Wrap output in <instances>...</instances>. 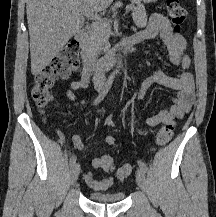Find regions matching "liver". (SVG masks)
Here are the masks:
<instances>
[{
  "mask_svg": "<svg viewBox=\"0 0 216 217\" xmlns=\"http://www.w3.org/2000/svg\"><path fill=\"white\" fill-rule=\"evenodd\" d=\"M113 0H26L31 72L38 75L83 26L86 12L98 13Z\"/></svg>",
  "mask_w": 216,
  "mask_h": 217,
  "instance_id": "6515ba94",
  "label": "liver"
}]
</instances>
